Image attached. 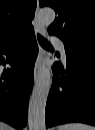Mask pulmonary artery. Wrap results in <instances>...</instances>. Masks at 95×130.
I'll return each mask as SVG.
<instances>
[{
	"label": "pulmonary artery",
	"instance_id": "e3ab8cb5",
	"mask_svg": "<svg viewBox=\"0 0 95 130\" xmlns=\"http://www.w3.org/2000/svg\"><path fill=\"white\" fill-rule=\"evenodd\" d=\"M54 43L58 46L63 58H66L65 47L63 42L59 38H53Z\"/></svg>",
	"mask_w": 95,
	"mask_h": 130
}]
</instances>
